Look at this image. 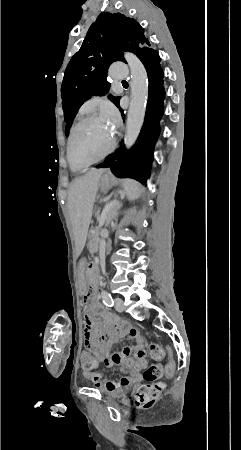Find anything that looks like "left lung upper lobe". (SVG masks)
Masks as SVG:
<instances>
[{"instance_id":"5c2ea615","label":"left lung upper lobe","mask_w":241,"mask_h":450,"mask_svg":"<svg viewBox=\"0 0 241 450\" xmlns=\"http://www.w3.org/2000/svg\"><path fill=\"white\" fill-rule=\"evenodd\" d=\"M150 49L144 29L134 19L120 13H101L89 28L80 50L71 58L61 87L66 136L79 107L93 95H105L109 66L123 61L122 51L139 58ZM119 107L120 97L108 96Z\"/></svg>"}]
</instances>
